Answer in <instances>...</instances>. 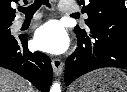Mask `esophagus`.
<instances>
[{"label":"esophagus","instance_id":"esophagus-1","mask_svg":"<svg viewBox=\"0 0 127 92\" xmlns=\"http://www.w3.org/2000/svg\"><path fill=\"white\" fill-rule=\"evenodd\" d=\"M51 64L56 76H60L63 72L64 63L59 58H52Z\"/></svg>","mask_w":127,"mask_h":92}]
</instances>
